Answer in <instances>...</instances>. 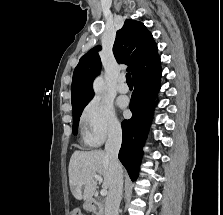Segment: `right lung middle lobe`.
I'll list each match as a JSON object with an SVG mask.
<instances>
[{
    "label": "right lung middle lobe",
    "mask_w": 223,
    "mask_h": 215,
    "mask_svg": "<svg viewBox=\"0 0 223 215\" xmlns=\"http://www.w3.org/2000/svg\"><path fill=\"white\" fill-rule=\"evenodd\" d=\"M86 104L78 106L76 108H73V120H74V124H73V134L76 135L77 134V128H78V123H79V117L84 109Z\"/></svg>",
    "instance_id": "right-lung-middle-lobe-1"
}]
</instances>
